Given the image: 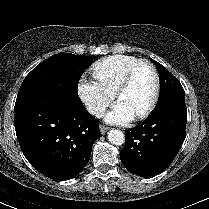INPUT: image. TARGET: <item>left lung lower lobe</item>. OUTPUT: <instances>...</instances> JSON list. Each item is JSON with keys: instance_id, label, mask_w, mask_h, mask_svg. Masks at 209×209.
<instances>
[{"instance_id": "1", "label": "left lung lower lobe", "mask_w": 209, "mask_h": 209, "mask_svg": "<svg viewBox=\"0 0 209 209\" xmlns=\"http://www.w3.org/2000/svg\"><path fill=\"white\" fill-rule=\"evenodd\" d=\"M185 95L157 102L153 113L138 127L126 130L120 152L122 164L141 177L154 176L173 161L186 137Z\"/></svg>"}]
</instances>
